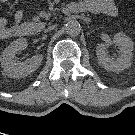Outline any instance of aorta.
Here are the masks:
<instances>
[{"mask_svg":"<svg viewBox=\"0 0 135 135\" xmlns=\"http://www.w3.org/2000/svg\"><path fill=\"white\" fill-rule=\"evenodd\" d=\"M65 30L71 36L78 35L81 31L80 23L77 20H70L66 23Z\"/></svg>","mask_w":135,"mask_h":135,"instance_id":"1","label":"aorta"}]
</instances>
